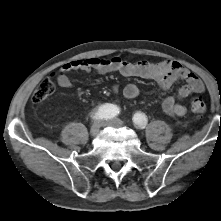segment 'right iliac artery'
<instances>
[{
  "instance_id": "82829eb1",
  "label": "right iliac artery",
  "mask_w": 221,
  "mask_h": 221,
  "mask_svg": "<svg viewBox=\"0 0 221 221\" xmlns=\"http://www.w3.org/2000/svg\"><path fill=\"white\" fill-rule=\"evenodd\" d=\"M120 110L116 105L104 104L101 105L95 113L92 114L93 120H107L119 114Z\"/></svg>"
}]
</instances>
